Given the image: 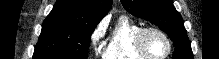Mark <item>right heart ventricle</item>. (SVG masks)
<instances>
[{"instance_id":"right-heart-ventricle-1","label":"right heart ventricle","mask_w":219,"mask_h":59,"mask_svg":"<svg viewBox=\"0 0 219 59\" xmlns=\"http://www.w3.org/2000/svg\"><path fill=\"white\" fill-rule=\"evenodd\" d=\"M142 26L127 15H121L108 34L103 59H147L135 48L136 35Z\"/></svg>"}]
</instances>
